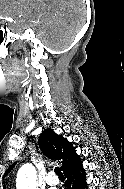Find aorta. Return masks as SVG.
<instances>
[{"mask_svg":"<svg viewBox=\"0 0 124 189\" xmlns=\"http://www.w3.org/2000/svg\"><path fill=\"white\" fill-rule=\"evenodd\" d=\"M37 175L32 164H24L18 171L16 179L17 189H36Z\"/></svg>","mask_w":124,"mask_h":189,"instance_id":"aorta-1","label":"aorta"}]
</instances>
